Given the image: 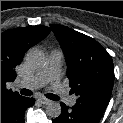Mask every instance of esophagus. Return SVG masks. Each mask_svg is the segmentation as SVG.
<instances>
[{
	"instance_id": "esophagus-1",
	"label": "esophagus",
	"mask_w": 123,
	"mask_h": 123,
	"mask_svg": "<svg viewBox=\"0 0 123 123\" xmlns=\"http://www.w3.org/2000/svg\"><path fill=\"white\" fill-rule=\"evenodd\" d=\"M38 100H39V102H41L44 105H47V104L51 103V101L49 99L43 98V97L39 98Z\"/></svg>"
}]
</instances>
